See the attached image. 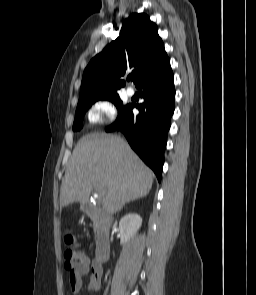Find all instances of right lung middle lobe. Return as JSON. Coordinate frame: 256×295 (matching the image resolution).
<instances>
[{
	"label": "right lung middle lobe",
	"mask_w": 256,
	"mask_h": 295,
	"mask_svg": "<svg viewBox=\"0 0 256 295\" xmlns=\"http://www.w3.org/2000/svg\"><path fill=\"white\" fill-rule=\"evenodd\" d=\"M98 100H108L114 103V105L118 109V114L120 115L127 107V105H123V102L119 98V95L109 96L104 98H82L79 99L78 106L76 109L75 120L73 123V131H79L83 127V118L86 111L89 107Z\"/></svg>",
	"instance_id": "right-lung-middle-lobe-1"
}]
</instances>
